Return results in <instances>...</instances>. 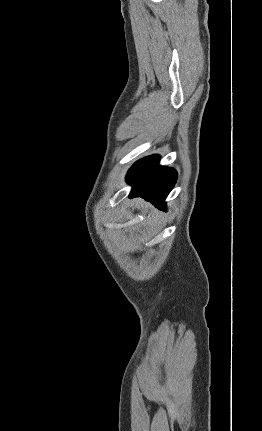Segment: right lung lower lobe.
<instances>
[{"label":"right lung lower lobe","mask_w":262,"mask_h":431,"mask_svg":"<svg viewBox=\"0 0 262 431\" xmlns=\"http://www.w3.org/2000/svg\"><path fill=\"white\" fill-rule=\"evenodd\" d=\"M177 173L173 168L159 166V156H149L136 162L127 175L132 190L129 198L142 197L165 210V198L174 187Z\"/></svg>","instance_id":"98d812e1"}]
</instances>
